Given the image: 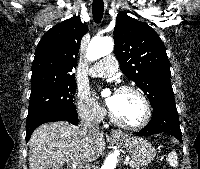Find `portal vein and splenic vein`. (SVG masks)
<instances>
[{
	"label": "portal vein and splenic vein",
	"instance_id": "portal-vein-and-splenic-vein-1",
	"mask_svg": "<svg viewBox=\"0 0 200 169\" xmlns=\"http://www.w3.org/2000/svg\"><path fill=\"white\" fill-rule=\"evenodd\" d=\"M129 160H125L124 164H128ZM74 164H76V162H73Z\"/></svg>",
	"mask_w": 200,
	"mask_h": 169
}]
</instances>
